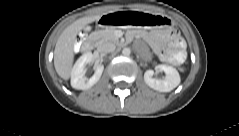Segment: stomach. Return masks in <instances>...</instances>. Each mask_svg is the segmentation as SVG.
<instances>
[{
	"instance_id": "stomach-1",
	"label": "stomach",
	"mask_w": 239,
	"mask_h": 136,
	"mask_svg": "<svg viewBox=\"0 0 239 136\" xmlns=\"http://www.w3.org/2000/svg\"><path fill=\"white\" fill-rule=\"evenodd\" d=\"M100 24L121 28H134L143 30H155L157 27L169 28L172 20L165 17L150 16L141 11H117L109 12L107 16L100 17Z\"/></svg>"
}]
</instances>
